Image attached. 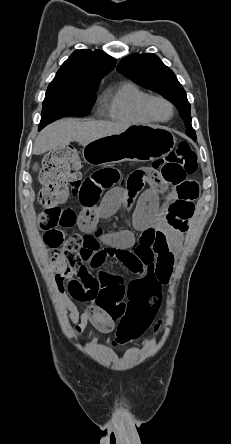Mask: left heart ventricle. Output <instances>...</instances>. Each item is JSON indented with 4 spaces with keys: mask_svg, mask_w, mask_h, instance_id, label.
Here are the masks:
<instances>
[{
    "mask_svg": "<svg viewBox=\"0 0 231 444\" xmlns=\"http://www.w3.org/2000/svg\"><path fill=\"white\" fill-rule=\"evenodd\" d=\"M153 110L160 118H167L170 115L169 106L162 101H155L153 103Z\"/></svg>",
    "mask_w": 231,
    "mask_h": 444,
    "instance_id": "left-heart-ventricle-1",
    "label": "left heart ventricle"
}]
</instances>
